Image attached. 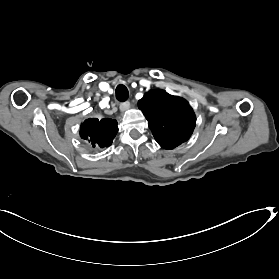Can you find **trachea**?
I'll use <instances>...</instances> for the list:
<instances>
[{
    "label": "trachea",
    "instance_id": "1",
    "mask_svg": "<svg viewBox=\"0 0 279 279\" xmlns=\"http://www.w3.org/2000/svg\"><path fill=\"white\" fill-rule=\"evenodd\" d=\"M128 96L129 92L125 85L120 84L116 87V98L119 101L124 102L125 100H127Z\"/></svg>",
    "mask_w": 279,
    "mask_h": 279
}]
</instances>
